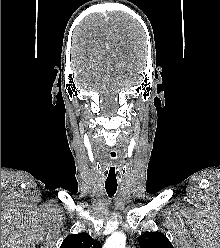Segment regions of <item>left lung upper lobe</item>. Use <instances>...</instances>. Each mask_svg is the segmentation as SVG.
<instances>
[{
	"label": "left lung upper lobe",
	"instance_id": "1",
	"mask_svg": "<svg viewBox=\"0 0 220 248\" xmlns=\"http://www.w3.org/2000/svg\"><path fill=\"white\" fill-rule=\"evenodd\" d=\"M138 241L141 248H174L167 237L160 232H145Z\"/></svg>",
	"mask_w": 220,
	"mask_h": 248
}]
</instances>
